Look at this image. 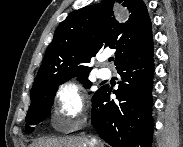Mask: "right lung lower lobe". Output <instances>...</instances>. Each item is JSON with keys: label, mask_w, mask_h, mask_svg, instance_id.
<instances>
[{"label": "right lung lower lobe", "mask_w": 183, "mask_h": 147, "mask_svg": "<svg viewBox=\"0 0 183 147\" xmlns=\"http://www.w3.org/2000/svg\"><path fill=\"white\" fill-rule=\"evenodd\" d=\"M122 81L113 93L99 88L92 96V125L113 147H150L152 143L153 52L128 59L116 67Z\"/></svg>", "instance_id": "1"}]
</instances>
